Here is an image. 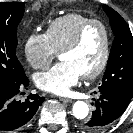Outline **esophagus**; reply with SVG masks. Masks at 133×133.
I'll return each instance as SVG.
<instances>
[{
	"instance_id": "esophagus-1",
	"label": "esophagus",
	"mask_w": 133,
	"mask_h": 133,
	"mask_svg": "<svg viewBox=\"0 0 133 133\" xmlns=\"http://www.w3.org/2000/svg\"><path fill=\"white\" fill-rule=\"evenodd\" d=\"M59 100L64 102V103H70L72 100L69 98H65V97H59Z\"/></svg>"
}]
</instances>
